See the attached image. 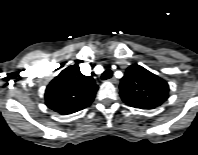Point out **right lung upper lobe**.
Instances as JSON below:
<instances>
[{"mask_svg":"<svg viewBox=\"0 0 198 155\" xmlns=\"http://www.w3.org/2000/svg\"><path fill=\"white\" fill-rule=\"evenodd\" d=\"M97 90L93 77L83 75L78 65H71L47 86L46 105L62 115L71 114L89 106Z\"/></svg>","mask_w":198,"mask_h":155,"instance_id":"1","label":"right lung upper lobe"}]
</instances>
